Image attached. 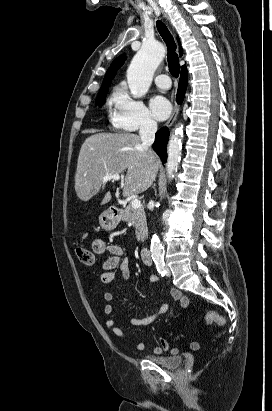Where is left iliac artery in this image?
<instances>
[{
  "mask_svg": "<svg viewBox=\"0 0 272 411\" xmlns=\"http://www.w3.org/2000/svg\"><path fill=\"white\" fill-rule=\"evenodd\" d=\"M155 264H156V268L159 274H161V276H164L166 274L165 271V263H164V259L163 258H156L154 260Z\"/></svg>",
  "mask_w": 272,
  "mask_h": 411,
  "instance_id": "1",
  "label": "left iliac artery"
}]
</instances>
